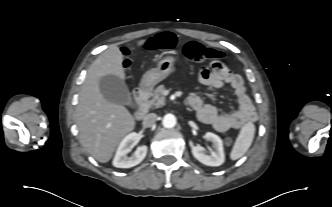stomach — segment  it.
Here are the masks:
<instances>
[{
  "label": "stomach",
  "instance_id": "0dacf381",
  "mask_svg": "<svg viewBox=\"0 0 332 207\" xmlns=\"http://www.w3.org/2000/svg\"><path fill=\"white\" fill-rule=\"evenodd\" d=\"M176 58L166 56L159 60L157 66L148 70L142 77L140 87L144 90H151L156 84L166 79L174 70Z\"/></svg>",
  "mask_w": 332,
  "mask_h": 207
}]
</instances>
